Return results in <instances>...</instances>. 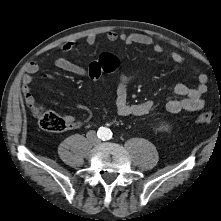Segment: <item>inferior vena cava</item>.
Segmentation results:
<instances>
[{"label": "inferior vena cava", "instance_id": "obj_1", "mask_svg": "<svg viewBox=\"0 0 221 221\" xmlns=\"http://www.w3.org/2000/svg\"><path fill=\"white\" fill-rule=\"evenodd\" d=\"M87 138L93 143V144H97L99 142L98 137L96 136L94 131H89L87 133Z\"/></svg>", "mask_w": 221, "mask_h": 221}]
</instances>
